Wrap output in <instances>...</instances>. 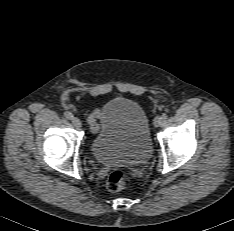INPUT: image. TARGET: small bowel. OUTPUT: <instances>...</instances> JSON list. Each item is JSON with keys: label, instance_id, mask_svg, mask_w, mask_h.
<instances>
[{"label": "small bowel", "instance_id": "1", "mask_svg": "<svg viewBox=\"0 0 234 231\" xmlns=\"http://www.w3.org/2000/svg\"><path fill=\"white\" fill-rule=\"evenodd\" d=\"M100 115H101L100 110H96L90 115L89 124H90V127H91L92 131H97L98 130L99 127H98V124H97V119L99 118Z\"/></svg>", "mask_w": 234, "mask_h": 231}]
</instances>
